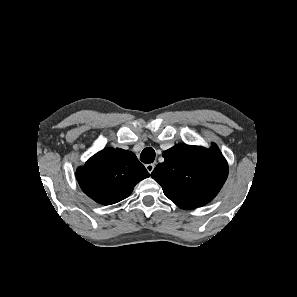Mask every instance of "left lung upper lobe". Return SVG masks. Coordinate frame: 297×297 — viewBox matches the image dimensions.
<instances>
[{
  "instance_id": "1",
  "label": "left lung upper lobe",
  "mask_w": 297,
  "mask_h": 297,
  "mask_svg": "<svg viewBox=\"0 0 297 297\" xmlns=\"http://www.w3.org/2000/svg\"><path fill=\"white\" fill-rule=\"evenodd\" d=\"M165 161L151 173L171 201L183 209L210 202L228 176L227 161L216 145L210 149L177 144L163 152Z\"/></svg>"
}]
</instances>
